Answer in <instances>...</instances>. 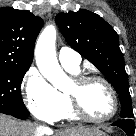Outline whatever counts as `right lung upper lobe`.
Segmentation results:
<instances>
[{
  "instance_id": "1",
  "label": "right lung upper lobe",
  "mask_w": 136,
  "mask_h": 136,
  "mask_svg": "<svg viewBox=\"0 0 136 136\" xmlns=\"http://www.w3.org/2000/svg\"><path fill=\"white\" fill-rule=\"evenodd\" d=\"M42 25L43 20L29 11L0 8V66L29 68Z\"/></svg>"
}]
</instances>
